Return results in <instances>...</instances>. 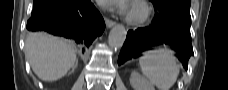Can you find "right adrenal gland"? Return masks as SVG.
Returning a JSON list of instances; mask_svg holds the SVG:
<instances>
[{
	"mask_svg": "<svg viewBox=\"0 0 228 90\" xmlns=\"http://www.w3.org/2000/svg\"><path fill=\"white\" fill-rule=\"evenodd\" d=\"M77 65H78V61H76L75 66H73V68H72V72H74V70H75V68L77 67Z\"/></svg>",
	"mask_w": 228,
	"mask_h": 90,
	"instance_id": "2a0ac1e0",
	"label": "right adrenal gland"
}]
</instances>
